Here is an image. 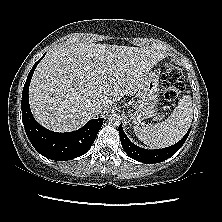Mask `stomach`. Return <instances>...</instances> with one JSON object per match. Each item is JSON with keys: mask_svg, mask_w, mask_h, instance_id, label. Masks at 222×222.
I'll return each mask as SVG.
<instances>
[{"mask_svg": "<svg viewBox=\"0 0 222 222\" xmlns=\"http://www.w3.org/2000/svg\"><path fill=\"white\" fill-rule=\"evenodd\" d=\"M137 96L138 101L134 104L135 111L131 112V118L136 124H139L144 118L155 112L159 97V76L156 72L146 73Z\"/></svg>", "mask_w": 222, "mask_h": 222, "instance_id": "1", "label": "stomach"}]
</instances>
